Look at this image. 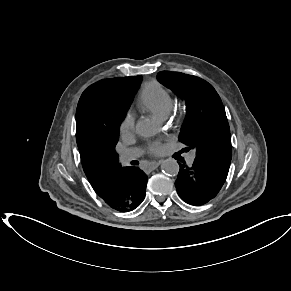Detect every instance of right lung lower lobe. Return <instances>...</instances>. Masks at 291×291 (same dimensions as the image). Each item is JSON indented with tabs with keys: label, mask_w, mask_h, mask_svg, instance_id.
Instances as JSON below:
<instances>
[{
	"label": "right lung lower lobe",
	"mask_w": 291,
	"mask_h": 291,
	"mask_svg": "<svg viewBox=\"0 0 291 291\" xmlns=\"http://www.w3.org/2000/svg\"><path fill=\"white\" fill-rule=\"evenodd\" d=\"M119 181L115 194L105 201L108 206L119 212L136 209L145 198L147 175L138 167H125L117 173Z\"/></svg>",
	"instance_id": "right-lung-lower-lobe-1"
}]
</instances>
